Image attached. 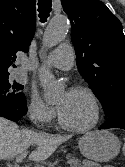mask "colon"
<instances>
[{"mask_svg":"<svg viewBox=\"0 0 125 167\" xmlns=\"http://www.w3.org/2000/svg\"><path fill=\"white\" fill-rule=\"evenodd\" d=\"M123 153L125 154V143L123 144Z\"/></svg>","mask_w":125,"mask_h":167,"instance_id":"1","label":"colon"}]
</instances>
